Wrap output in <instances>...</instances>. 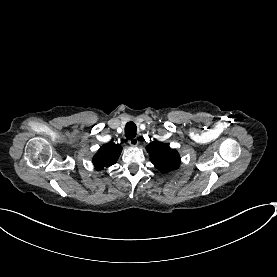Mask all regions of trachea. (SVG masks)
<instances>
[{
    "instance_id": "3493384b",
    "label": "trachea",
    "mask_w": 277,
    "mask_h": 277,
    "mask_svg": "<svg viewBox=\"0 0 277 277\" xmlns=\"http://www.w3.org/2000/svg\"><path fill=\"white\" fill-rule=\"evenodd\" d=\"M137 127L132 121L128 122L125 126V137L127 139H133L136 136Z\"/></svg>"
}]
</instances>
